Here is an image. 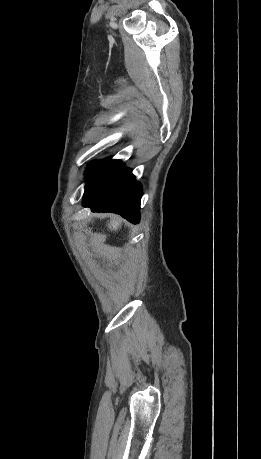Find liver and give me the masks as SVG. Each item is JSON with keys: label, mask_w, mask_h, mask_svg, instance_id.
Segmentation results:
<instances>
[{"label": "liver", "mask_w": 261, "mask_h": 459, "mask_svg": "<svg viewBox=\"0 0 261 459\" xmlns=\"http://www.w3.org/2000/svg\"><path fill=\"white\" fill-rule=\"evenodd\" d=\"M120 226H121V220H119L118 218H112L110 220V223L108 224V227L114 231H116Z\"/></svg>", "instance_id": "obj_1"}]
</instances>
